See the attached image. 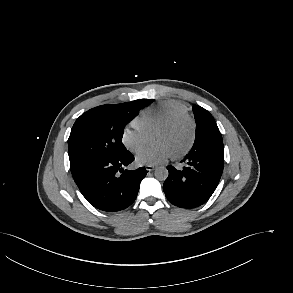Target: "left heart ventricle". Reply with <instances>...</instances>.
Here are the masks:
<instances>
[{
    "instance_id": "left-heart-ventricle-1",
    "label": "left heart ventricle",
    "mask_w": 293,
    "mask_h": 293,
    "mask_svg": "<svg viewBox=\"0 0 293 293\" xmlns=\"http://www.w3.org/2000/svg\"><path fill=\"white\" fill-rule=\"evenodd\" d=\"M191 127L187 121L180 122L168 130L155 131L152 136L154 143L166 144L173 154L182 151L188 144Z\"/></svg>"
}]
</instances>
